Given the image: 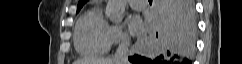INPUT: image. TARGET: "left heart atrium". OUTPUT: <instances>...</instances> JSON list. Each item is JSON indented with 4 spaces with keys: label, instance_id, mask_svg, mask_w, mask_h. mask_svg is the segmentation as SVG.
Wrapping results in <instances>:
<instances>
[{
    "label": "left heart atrium",
    "instance_id": "39dd6f15",
    "mask_svg": "<svg viewBox=\"0 0 242 64\" xmlns=\"http://www.w3.org/2000/svg\"><path fill=\"white\" fill-rule=\"evenodd\" d=\"M128 24H129L130 32L133 35L142 33L143 24H142V21L140 20V18H138L137 16H130L128 19Z\"/></svg>",
    "mask_w": 242,
    "mask_h": 64
}]
</instances>
